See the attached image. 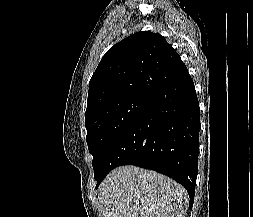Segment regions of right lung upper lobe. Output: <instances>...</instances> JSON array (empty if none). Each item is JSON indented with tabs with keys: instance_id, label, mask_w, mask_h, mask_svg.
<instances>
[{
	"instance_id": "obj_1",
	"label": "right lung upper lobe",
	"mask_w": 253,
	"mask_h": 217,
	"mask_svg": "<svg viewBox=\"0 0 253 217\" xmlns=\"http://www.w3.org/2000/svg\"><path fill=\"white\" fill-rule=\"evenodd\" d=\"M179 54L157 33L141 31L110 48L89 82L85 119L128 97L151 98L185 68Z\"/></svg>"
}]
</instances>
